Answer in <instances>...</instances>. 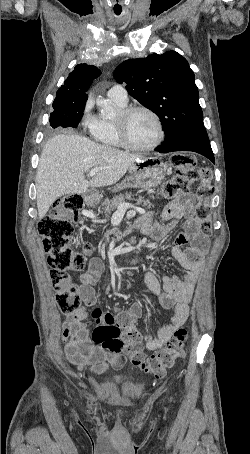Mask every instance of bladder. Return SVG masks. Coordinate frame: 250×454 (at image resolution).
<instances>
[{
    "mask_svg": "<svg viewBox=\"0 0 250 454\" xmlns=\"http://www.w3.org/2000/svg\"><path fill=\"white\" fill-rule=\"evenodd\" d=\"M128 379L125 375H118L117 377L114 378L113 383L114 384H122L126 382Z\"/></svg>",
    "mask_w": 250,
    "mask_h": 454,
    "instance_id": "1",
    "label": "bladder"
}]
</instances>
